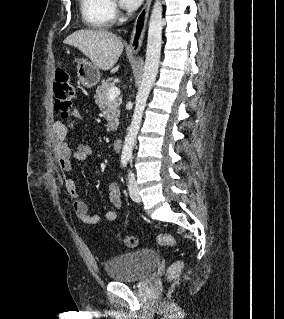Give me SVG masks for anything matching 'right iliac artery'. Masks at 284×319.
<instances>
[{
    "instance_id": "right-iliac-artery-1",
    "label": "right iliac artery",
    "mask_w": 284,
    "mask_h": 319,
    "mask_svg": "<svg viewBox=\"0 0 284 319\" xmlns=\"http://www.w3.org/2000/svg\"><path fill=\"white\" fill-rule=\"evenodd\" d=\"M121 163H122V166H123V167H126V165H127V160H126V159H122V160H121Z\"/></svg>"
}]
</instances>
